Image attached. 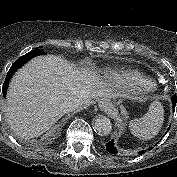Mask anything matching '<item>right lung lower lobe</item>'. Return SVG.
<instances>
[{
  "label": "right lung lower lobe",
  "instance_id": "right-lung-lower-lobe-1",
  "mask_svg": "<svg viewBox=\"0 0 177 177\" xmlns=\"http://www.w3.org/2000/svg\"><path fill=\"white\" fill-rule=\"evenodd\" d=\"M44 54L45 53L42 51L32 50L14 62V64L11 66V68L9 69V72L6 75V79H5L3 87H2V92H3L4 97L6 96V91H7L8 85H9V81H10L11 77L13 76V74L21 66H23L27 61H29L31 58L39 56V55H44Z\"/></svg>",
  "mask_w": 177,
  "mask_h": 177
}]
</instances>
